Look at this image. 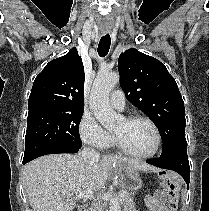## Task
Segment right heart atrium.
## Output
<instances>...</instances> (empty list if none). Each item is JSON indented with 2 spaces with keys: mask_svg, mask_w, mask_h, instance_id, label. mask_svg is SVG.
Returning a JSON list of instances; mask_svg holds the SVG:
<instances>
[{
  "mask_svg": "<svg viewBox=\"0 0 209 211\" xmlns=\"http://www.w3.org/2000/svg\"><path fill=\"white\" fill-rule=\"evenodd\" d=\"M79 134L85 144L97 149H103L113 142V136L88 112L81 117Z\"/></svg>",
  "mask_w": 209,
  "mask_h": 211,
  "instance_id": "obj_1",
  "label": "right heart atrium"
}]
</instances>
